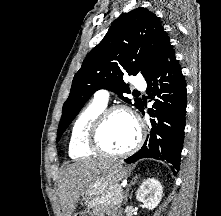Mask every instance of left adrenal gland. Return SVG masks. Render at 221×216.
I'll list each match as a JSON object with an SVG mask.
<instances>
[{"label":"left adrenal gland","mask_w":221,"mask_h":216,"mask_svg":"<svg viewBox=\"0 0 221 216\" xmlns=\"http://www.w3.org/2000/svg\"><path fill=\"white\" fill-rule=\"evenodd\" d=\"M137 179H138V176H135V177L132 179V181H131V183H130L128 189L126 190L125 199H124V204L127 203V197H128L129 188L136 183Z\"/></svg>","instance_id":"obj_1"}]
</instances>
